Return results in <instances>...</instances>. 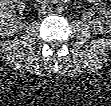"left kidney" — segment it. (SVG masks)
I'll use <instances>...</instances> for the list:
<instances>
[{"label": "left kidney", "mask_w": 111, "mask_h": 106, "mask_svg": "<svg viewBox=\"0 0 111 106\" xmlns=\"http://www.w3.org/2000/svg\"><path fill=\"white\" fill-rule=\"evenodd\" d=\"M101 16L95 18L91 22L93 29L99 32H110L111 31V9L103 8Z\"/></svg>", "instance_id": "1"}]
</instances>
